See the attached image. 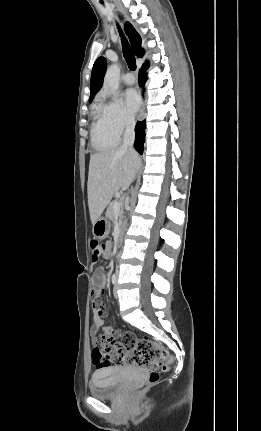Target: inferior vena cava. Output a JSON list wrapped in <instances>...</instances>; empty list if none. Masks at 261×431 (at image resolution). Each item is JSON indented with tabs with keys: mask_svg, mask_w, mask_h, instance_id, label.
Here are the masks:
<instances>
[{
	"mask_svg": "<svg viewBox=\"0 0 261 431\" xmlns=\"http://www.w3.org/2000/svg\"><path fill=\"white\" fill-rule=\"evenodd\" d=\"M135 118L134 117H128L126 120V129L124 132V139H123V145L121 146L122 149H128L131 152H134L133 150V144L135 140Z\"/></svg>",
	"mask_w": 261,
	"mask_h": 431,
	"instance_id": "602c4592",
	"label": "inferior vena cava"
}]
</instances>
